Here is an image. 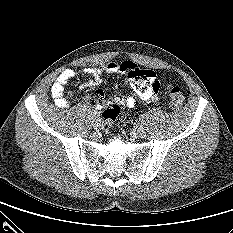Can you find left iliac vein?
<instances>
[{
    "mask_svg": "<svg viewBox=\"0 0 233 233\" xmlns=\"http://www.w3.org/2000/svg\"><path fill=\"white\" fill-rule=\"evenodd\" d=\"M135 132H136L137 136H139V137L146 136V129L143 125H137V127L135 128Z\"/></svg>",
    "mask_w": 233,
    "mask_h": 233,
    "instance_id": "1",
    "label": "left iliac vein"
}]
</instances>
